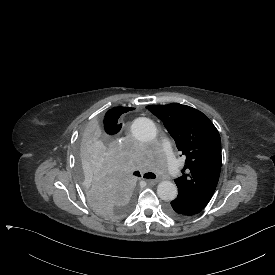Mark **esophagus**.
<instances>
[{
	"mask_svg": "<svg viewBox=\"0 0 275 275\" xmlns=\"http://www.w3.org/2000/svg\"><path fill=\"white\" fill-rule=\"evenodd\" d=\"M146 182L148 185H155L158 183V180L156 179H146Z\"/></svg>",
	"mask_w": 275,
	"mask_h": 275,
	"instance_id": "34e87169",
	"label": "esophagus"
}]
</instances>
